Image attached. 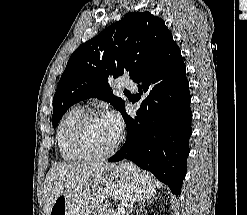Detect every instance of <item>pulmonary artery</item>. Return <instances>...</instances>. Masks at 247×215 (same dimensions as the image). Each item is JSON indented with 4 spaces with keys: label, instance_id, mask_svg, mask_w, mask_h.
<instances>
[{
    "label": "pulmonary artery",
    "instance_id": "e3ab8cb5",
    "mask_svg": "<svg viewBox=\"0 0 247 215\" xmlns=\"http://www.w3.org/2000/svg\"><path fill=\"white\" fill-rule=\"evenodd\" d=\"M119 85L121 87L127 88V89L132 90V91L137 90V85L135 84V82L129 78H126V77H122L119 79Z\"/></svg>",
    "mask_w": 247,
    "mask_h": 215
}]
</instances>
